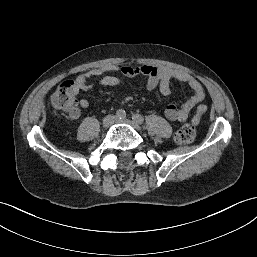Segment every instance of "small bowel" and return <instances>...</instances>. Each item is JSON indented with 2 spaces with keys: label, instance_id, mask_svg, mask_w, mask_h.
Instances as JSON below:
<instances>
[{
  "label": "small bowel",
  "instance_id": "c3829d8e",
  "mask_svg": "<svg viewBox=\"0 0 257 257\" xmlns=\"http://www.w3.org/2000/svg\"><path fill=\"white\" fill-rule=\"evenodd\" d=\"M110 72H119L126 78L144 76L147 79V89L149 91H158L163 96H169L171 94L172 81L175 80L186 84L191 89L192 94L181 104L170 102L165 108V116L170 121L184 122L188 119L191 111L196 108L191 121L194 125H198L202 115L207 110L206 105L203 104L205 91L200 81L185 71L169 67L157 68L150 65L122 67L114 65L102 66L77 76L73 82L74 94L77 95L81 91L91 89L94 83L105 87L122 85L123 80L110 75ZM88 107L89 101L87 99H81L76 111L69 112L70 118H79L81 110Z\"/></svg>",
  "mask_w": 257,
  "mask_h": 257
}]
</instances>
